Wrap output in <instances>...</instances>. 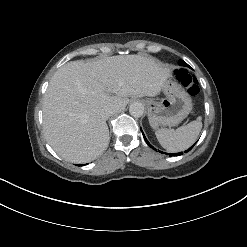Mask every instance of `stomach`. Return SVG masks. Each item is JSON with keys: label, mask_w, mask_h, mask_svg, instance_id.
<instances>
[{"label": "stomach", "mask_w": 247, "mask_h": 247, "mask_svg": "<svg viewBox=\"0 0 247 247\" xmlns=\"http://www.w3.org/2000/svg\"><path fill=\"white\" fill-rule=\"evenodd\" d=\"M165 98L146 100L148 118L153 128L171 127L181 123L192 110V101L181 85L168 78L162 87Z\"/></svg>", "instance_id": "stomach-1"}]
</instances>
